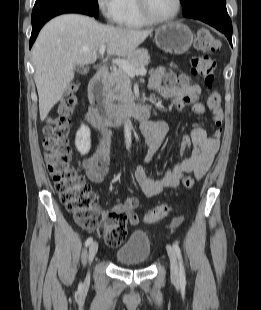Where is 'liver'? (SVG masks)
<instances>
[{
  "mask_svg": "<svg viewBox=\"0 0 261 310\" xmlns=\"http://www.w3.org/2000/svg\"><path fill=\"white\" fill-rule=\"evenodd\" d=\"M151 32L103 25L79 14H65L49 21L32 49L41 121L73 81L76 65L94 63L102 45L107 46L108 55H128Z\"/></svg>",
  "mask_w": 261,
  "mask_h": 310,
  "instance_id": "liver-1",
  "label": "liver"
}]
</instances>
